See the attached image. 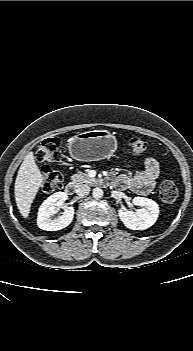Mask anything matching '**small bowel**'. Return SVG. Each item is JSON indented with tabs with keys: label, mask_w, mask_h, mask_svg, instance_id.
<instances>
[{
	"label": "small bowel",
	"mask_w": 193,
	"mask_h": 351,
	"mask_svg": "<svg viewBox=\"0 0 193 351\" xmlns=\"http://www.w3.org/2000/svg\"><path fill=\"white\" fill-rule=\"evenodd\" d=\"M159 163L154 157H147L144 160V167L133 175L123 174L115 179L116 185L121 188L146 195L149 194L156 184L159 176Z\"/></svg>",
	"instance_id": "obj_1"
}]
</instances>
